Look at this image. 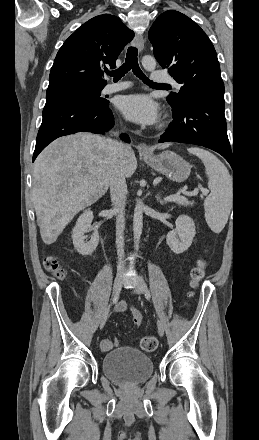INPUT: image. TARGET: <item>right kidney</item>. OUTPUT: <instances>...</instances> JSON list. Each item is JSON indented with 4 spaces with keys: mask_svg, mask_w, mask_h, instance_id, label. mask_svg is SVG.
I'll list each match as a JSON object with an SVG mask.
<instances>
[{
    "mask_svg": "<svg viewBox=\"0 0 259 440\" xmlns=\"http://www.w3.org/2000/svg\"><path fill=\"white\" fill-rule=\"evenodd\" d=\"M92 221L93 212L90 210L84 211V213L79 216L76 225L72 230L74 248L83 256L91 255L99 243V234L96 229L92 228ZM91 231L92 235L90 241L85 242L86 236L84 234Z\"/></svg>",
    "mask_w": 259,
    "mask_h": 440,
    "instance_id": "obj_1",
    "label": "right kidney"
}]
</instances>
